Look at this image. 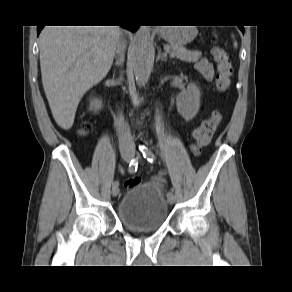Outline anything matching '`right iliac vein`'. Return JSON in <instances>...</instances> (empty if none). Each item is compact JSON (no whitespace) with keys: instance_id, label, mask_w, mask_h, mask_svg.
Here are the masks:
<instances>
[{"instance_id":"63e3f726","label":"right iliac vein","mask_w":292,"mask_h":292,"mask_svg":"<svg viewBox=\"0 0 292 292\" xmlns=\"http://www.w3.org/2000/svg\"><path fill=\"white\" fill-rule=\"evenodd\" d=\"M122 158L124 159V161L130 162L131 159H132V156H131V154L125 153V154L122 155ZM118 193H119L118 187H113L112 188V195L114 197H116L118 195Z\"/></svg>"}]
</instances>
